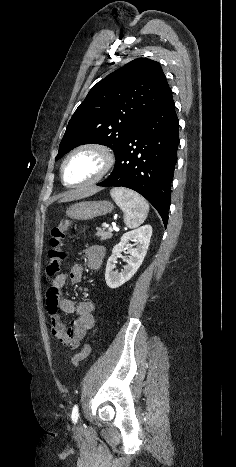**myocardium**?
<instances>
[{"label": "myocardium", "mask_w": 236, "mask_h": 467, "mask_svg": "<svg viewBox=\"0 0 236 467\" xmlns=\"http://www.w3.org/2000/svg\"><path fill=\"white\" fill-rule=\"evenodd\" d=\"M85 150L95 151L102 157L103 166H102L101 171L94 178H92V179H90L88 181H85V182H81V183H69V182H67L66 177H65V171H66L67 163L69 162V160L74 155H76L77 153H79L81 151H85ZM115 163H116V156H115V153H114V151L112 150V148L110 146H108L106 144H103V143H99V142H90V143L82 144V145L76 147L74 150H72L67 155L65 160L63 161V164H62V167H61L62 181L68 187H83V186H87V185L97 183L100 180H102L103 178H105L110 173V171L115 166Z\"/></svg>", "instance_id": "1"}]
</instances>
